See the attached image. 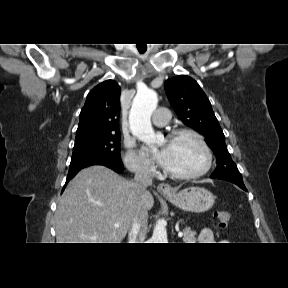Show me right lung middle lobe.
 Instances as JSON below:
<instances>
[{"mask_svg": "<svg viewBox=\"0 0 288 288\" xmlns=\"http://www.w3.org/2000/svg\"><path fill=\"white\" fill-rule=\"evenodd\" d=\"M103 158L123 165L120 157V134H107L75 141L71 163L86 159Z\"/></svg>", "mask_w": 288, "mask_h": 288, "instance_id": "1", "label": "right lung middle lobe"}]
</instances>
